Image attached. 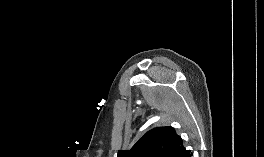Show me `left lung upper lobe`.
Wrapping results in <instances>:
<instances>
[{"instance_id":"5c2ea615","label":"left lung upper lobe","mask_w":264,"mask_h":157,"mask_svg":"<svg viewBox=\"0 0 264 157\" xmlns=\"http://www.w3.org/2000/svg\"><path fill=\"white\" fill-rule=\"evenodd\" d=\"M117 157H191L174 128L157 127L148 131L130 150H119Z\"/></svg>"}]
</instances>
